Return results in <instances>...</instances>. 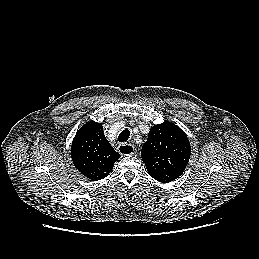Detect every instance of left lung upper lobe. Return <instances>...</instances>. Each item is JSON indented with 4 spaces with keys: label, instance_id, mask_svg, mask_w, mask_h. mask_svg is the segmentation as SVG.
Returning <instances> with one entry per match:
<instances>
[{
    "label": "left lung upper lobe",
    "instance_id": "obj_1",
    "mask_svg": "<svg viewBox=\"0 0 259 259\" xmlns=\"http://www.w3.org/2000/svg\"><path fill=\"white\" fill-rule=\"evenodd\" d=\"M186 134L172 122L153 126L142 147L141 157L151 177L162 182L178 178L190 159Z\"/></svg>",
    "mask_w": 259,
    "mask_h": 259
}]
</instances>
